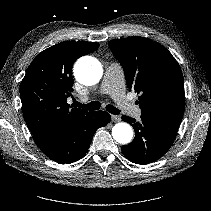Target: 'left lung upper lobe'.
Instances as JSON below:
<instances>
[{"mask_svg": "<svg viewBox=\"0 0 211 211\" xmlns=\"http://www.w3.org/2000/svg\"><path fill=\"white\" fill-rule=\"evenodd\" d=\"M108 45L124 69L127 86L140 94L142 115L183 117V74L164 46L139 36L110 40Z\"/></svg>", "mask_w": 211, "mask_h": 211, "instance_id": "5c2ea615", "label": "left lung upper lobe"}]
</instances>
